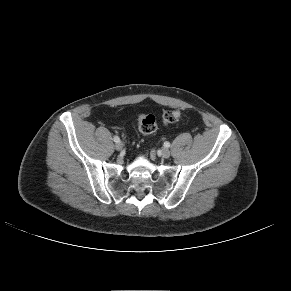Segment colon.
Listing matches in <instances>:
<instances>
[{
  "mask_svg": "<svg viewBox=\"0 0 291 291\" xmlns=\"http://www.w3.org/2000/svg\"><path fill=\"white\" fill-rule=\"evenodd\" d=\"M179 110H165L162 114V123L164 125L172 124L180 118ZM156 129V119L153 115H140L139 116V130L143 135H149Z\"/></svg>",
  "mask_w": 291,
  "mask_h": 291,
  "instance_id": "5ec220e1",
  "label": "colon"
}]
</instances>
